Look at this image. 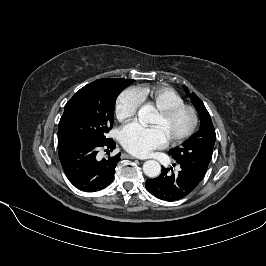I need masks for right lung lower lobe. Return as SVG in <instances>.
<instances>
[{"label":"right lung lower lobe","mask_w":266,"mask_h":266,"mask_svg":"<svg viewBox=\"0 0 266 266\" xmlns=\"http://www.w3.org/2000/svg\"><path fill=\"white\" fill-rule=\"evenodd\" d=\"M99 147L115 148V142L72 139L58 142L59 158L70 182L82 191L95 192L112 183L120 153L98 161Z\"/></svg>","instance_id":"98d812e1"}]
</instances>
